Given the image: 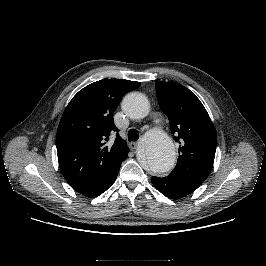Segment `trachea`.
Wrapping results in <instances>:
<instances>
[{"mask_svg": "<svg viewBox=\"0 0 266 266\" xmlns=\"http://www.w3.org/2000/svg\"><path fill=\"white\" fill-rule=\"evenodd\" d=\"M129 141H137L139 139V132L136 129H130L128 131Z\"/></svg>", "mask_w": 266, "mask_h": 266, "instance_id": "3493384b", "label": "trachea"}]
</instances>
